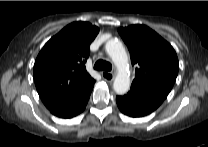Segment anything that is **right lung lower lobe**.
Masks as SVG:
<instances>
[{
  "mask_svg": "<svg viewBox=\"0 0 208 147\" xmlns=\"http://www.w3.org/2000/svg\"><path fill=\"white\" fill-rule=\"evenodd\" d=\"M93 86L73 101L49 109L50 112L61 118H71L80 114L87 105Z\"/></svg>",
  "mask_w": 208,
  "mask_h": 147,
  "instance_id": "98d812e1",
  "label": "right lung lower lobe"
}]
</instances>
